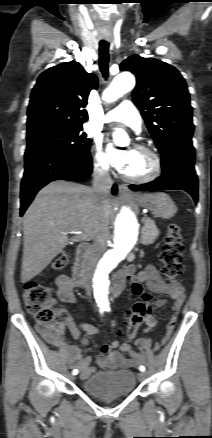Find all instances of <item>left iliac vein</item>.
<instances>
[{
  "label": "left iliac vein",
  "mask_w": 212,
  "mask_h": 438,
  "mask_svg": "<svg viewBox=\"0 0 212 438\" xmlns=\"http://www.w3.org/2000/svg\"><path fill=\"white\" fill-rule=\"evenodd\" d=\"M138 376H139V379H140L141 381H143V380L146 379L147 374H146L145 372H140Z\"/></svg>",
  "instance_id": "left-iliac-vein-1"
}]
</instances>
